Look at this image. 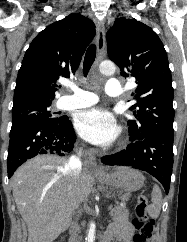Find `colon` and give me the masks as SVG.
Listing matches in <instances>:
<instances>
[{
  "label": "colon",
  "mask_w": 187,
  "mask_h": 242,
  "mask_svg": "<svg viewBox=\"0 0 187 242\" xmlns=\"http://www.w3.org/2000/svg\"><path fill=\"white\" fill-rule=\"evenodd\" d=\"M148 200L145 195H139L135 206V217L133 225L137 229V233L133 238V242H150L155 222L147 215Z\"/></svg>",
  "instance_id": "obj_1"
}]
</instances>
